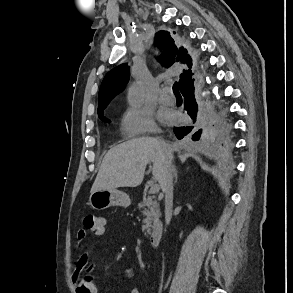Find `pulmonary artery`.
<instances>
[{
  "label": "pulmonary artery",
  "mask_w": 293,
  "mask_h": 293,
  "mask_svg": "<svg viewBox=\"0 0 293 293\" xmlns=\"http://www.w3.org/2000/svg\"><path fill=\"white\" fill-rule=\"evenodd\" d=\"M159 101L162 104H173L175 102V97H174L170 87H165L162 90V92L160 94Z\"/></svg>",
  "instance_id": "1"
}]
</instances>
